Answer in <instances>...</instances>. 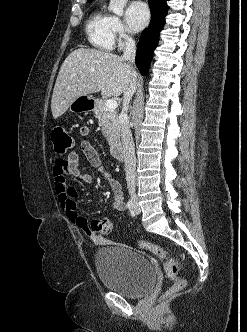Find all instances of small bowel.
<instances>
[{
	"label": "small bowel",
	"instance_id": "c3829d8e",
	"mask_svg": "<svg viewBox=\"0 0 247 332\" xmlns=\"http://www.w3.org/2000/svg\"><path fill=\"white\" fill-rule=\"evenodd\" d=\"M79 132L82 137H87L90 134V128L88 126H81ZM80 149L82 156L88 164L98 169L109 184L112 191L113 209L123 211L125 209V202L120 183L104 171L98 153L88 140L81 142ZM79 160L80 153L76 150L71 151L65 159L59 158L56 160L53 169L54 187L67 218L81 229L89 239L93 240L95 239V232L92 230L87 219L81 216L76 210L74 198L77 193L73 187L67 184V176H73L83 183H90L92 181V176L89 173L80 170Z\"/></svg>",
	"mask_w": 247,
	"mask_h": 332
}]
</instances>
